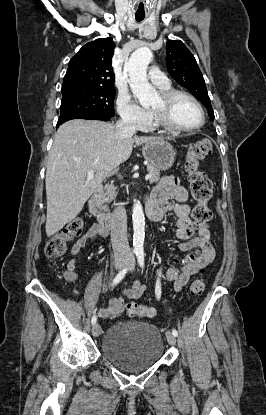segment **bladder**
<instances>
[{"label": "bladder", "instance_id": "obj_1", "mask_svg": "<svg viewBox=\"0 0 266 415\" xmlns=\"http://www.w3.org/2000/svg\"><path fill=\"white\" fill-rule=\"evenodd\" d=\"M101 352L119 369L134 373L152 367L162 358L164 342L160 331L151 324L118 322L104 334Z\"/></svg>", "mask_w": 266, "mask_h": 415}]
</instances>
